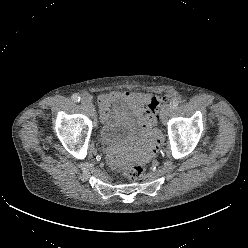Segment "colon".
I'll use <instances>...</instances> for the list:
<instances>
[{
    "mask_svg": "<svg viewBox=\"0 0 248 248\" xmlns=\"http://www.w3.org/2000/svg\"><path fill=\"white\" fill-rule=\"evenodd\" d=\"M161 99L159 97H153L149 106L146 109L144 122L147 126L152 127L157 122V107L159 106ZM121 176L128 180H136L139 179L144 172V168L142 165L137 163H131L122 166L119 169Z\"/></svg>",
    "mask_w": 248,
    "mask_h": 248,
    "instance_id": "5ec220e1",
    "label": "colon"
}]
</instances>
